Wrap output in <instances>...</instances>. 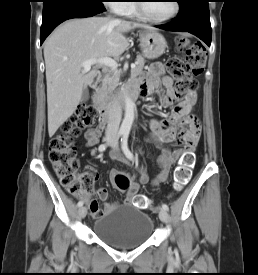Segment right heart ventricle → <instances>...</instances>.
Here are the masks:
<instances>
[{"label":"right heart ventricle","mask_w":258,"mask_h":275,"mask_svg":"<svg viewBox=\"0 0 258 275\" xmlns=\"http://www.w3.org/2000/svg\"><path fill=\"white\" fill-rule=\"evenodd\" d=\"M129 2H133V1H129ZM121 14L129 16V17H139V13L137 12L134 3H127L123 7V11Z\"/></svg>","instance_id":"right-heart-ventricle-1"}]
</instances>
